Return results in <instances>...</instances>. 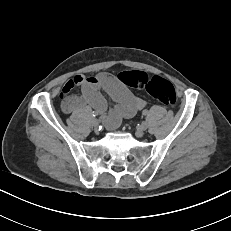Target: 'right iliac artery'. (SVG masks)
Wrapping results in <instances>:
<instances>
[{
  "label": "right iliac artery",
  "instance_id": "1",
  "mask_svg": "<svg viewBox=\"0 0 231 231\" xmlns=\"http://www.w3.org/2000/svg\"><path fill=\"white\" fill-rule=\"evenodd\" d=\"M97 115H98V114H97L96 112H94V111L92 112V116H93V117H96Z\"/></svg>",
  "mask_w": 231,
  "mask_h": 231
}]
</instances>
